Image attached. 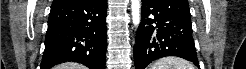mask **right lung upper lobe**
Wrapping results in <instances>:
<instances>
[{"label":"right lung upper lobe","instance_id":"cb5924a9","mask_svg":"<svg viewBox=\"0 0 246 69\" xmlns=\"http://www.w3.org/2000/svg\"><path fill=\"white\" fill-rule=\"evenodd\" d=\"M70 1H73V0H54L53 3L70 2Z\"/></svg>","mask_w":246,"mask_h":69}]
</instances>
